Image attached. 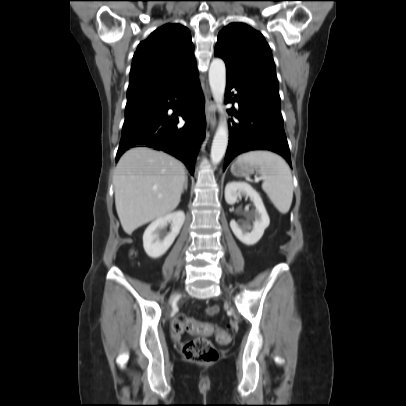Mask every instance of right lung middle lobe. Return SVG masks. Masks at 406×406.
<instances>
[{"label": "right lung middle lobe", "instance_id": "dd1d6c3e", "mask_svg": "<svg viewBox=\"0 0 406 406\" xmlns=\"http://www.w3.org/2000/svg\"><path fill=\"white\" fill-rule=\"evenodd\" d=\"M158 105L157 100L153 99L126 106L125 121L122 130L135 127L154 118Z\"/></svg>", "mask_w": 406, "mask_h": 406}]
</instances>
